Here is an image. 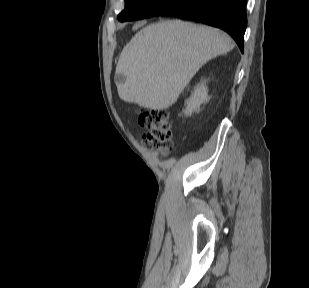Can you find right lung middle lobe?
Masks as SVG:
<instances>
[{"label": "right lung middle lobe", "instance_id": "1", "mask_svg": "<svg viewBox=\"0 0 309 288\" xmlns=\"http://www.w3.org/2000/svg\"><path fill=\"white\" fill-rule=\"evenodd\" d=\"M167 0H125V10L118 15L120 22L145 18L156 7Z\"/></svg>", "mask_w": 309, "mask_h": 288}]
</instances>
